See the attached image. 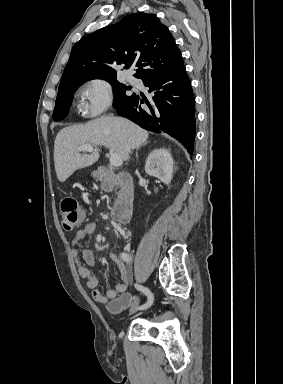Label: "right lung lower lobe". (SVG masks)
<instances>
[{
	"label": "right lung lower lobe",
	"instance_id": "1",
	"mask_svg": "<svg viewBox=\"0 0 283 384\" xmlns=\"http://www.w3.org/2000/svg\"><path fill=\"white\" fill-rule=\"evenodd\" d=\"M154 96L138 105L135 94L114 105L118 115L155 133H167L179 140L190 154L195 140V100L184 64L174 70L143 79ZM136 99V101H135Z\"/></svg>",
	"mask_w": 283,
	"mask_h": 384
}]
</instances>
